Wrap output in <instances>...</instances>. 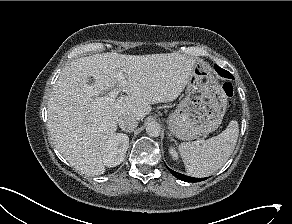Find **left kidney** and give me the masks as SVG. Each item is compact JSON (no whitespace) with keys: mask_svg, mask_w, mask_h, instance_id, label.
I'll return each mask as SVG.
<instances>
[{"mask_svg":"<svg viewBox=\"0 0 292 224\" xmlns=\"http://www.w3.org/2000/svg\"><path fill=\"white\" fill-rule=\"evenodd\" d=\"M168 151H169V154H170L171 158L174 161H178L179 160L178 153H177V151L175 150L174 147L170 146Z\"/></svg>","mask_w":292,"mask_h":224,"instance_id":"left-kidney-1","label":"left kidney"}]
</instances>
